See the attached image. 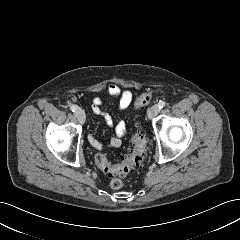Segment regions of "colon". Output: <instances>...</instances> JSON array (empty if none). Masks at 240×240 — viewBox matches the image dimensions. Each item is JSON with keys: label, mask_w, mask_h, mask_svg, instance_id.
I'll return each instance as SVG.
<instances>
[{"label": "colon", "mask_w": 240, "mask_h": 240, "mask_svg": "<svg viewBox=\"0 0 240 240\" xmlns=\"http://www.w3.org/2000/svg\"><path fill=\"white\" fill-rule=\"evenodd\" d=\"M151 98L150 93H143L137 98L136 105H147L151 101ZM145 152L146 138L142 131L137 130L131 138V146L126 150L119 164H112L102 154L96 156V164L103 173L111 178L110 187L117 190L123 186L122 177L142 164Z\"/></svg>", "instance_id": "obj_1"}]
</instances>
